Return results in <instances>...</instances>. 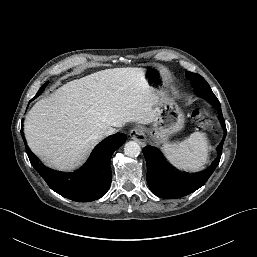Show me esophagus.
I'll return each instance as SVG.
<instances>
[{
  "label": "esophagus",
  "mask_w": 257,
  "mask_h": 257,
  "mask_svg": "<svg viewBox=\"0 0 257 257\" xmlns=\"http://www.w3.org/2000/svg\"><path fill=\"white\" fill-rule=\"evenodd\" d=\"M130 137L138 142L140 145H145L146 143V137H145V134H144V131L142 130V128L140 127H135L133 128L131 131H130Z\"/></svg>",
  "instance_id": "obj_1"
}]
</instances>
